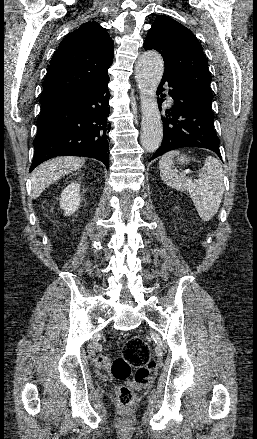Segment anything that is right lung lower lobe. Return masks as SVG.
<instances>
[{"mask_svg":"<svg viewBox=\"0 0 257 439\" xmlns=\"http://www.w3.org/2000/svg\"><path fill=\"white\" fill-rule=\"evenodd\" d=\"M109 76L88 87L41 102L30 172L56 156L95 158L109 167Z\"/></svg>","mask_w":257,"mask_h":439,"instance_id":"right-lung-lower-lobe-1","label":"right lung lower lobe"}]
</instances>
